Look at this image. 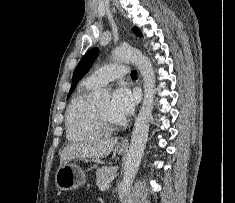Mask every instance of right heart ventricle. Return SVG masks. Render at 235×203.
I'll use <instances>...</instances> for the list:
<instances>
[{
	"label": "right heart ventricle",
	"mask_w": 235,
	"mask_h": 203,
	"mask_svg": "<svg viewBox=\"0 0 235 203\" xmlns=\"http://www.w3.org/2000/svg\"><path fill=\"white\" fill-rule=\"evenodd\" d=\"M96 89L97 87L85 80L70 101L66 113V133L70 141H88L103 136L104 133L95 118L94 102L91 99V94Z\"/></svg>",
	"instance_id": "right-heart-ventricle-1"
}]
</instances>
